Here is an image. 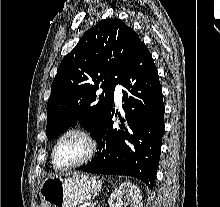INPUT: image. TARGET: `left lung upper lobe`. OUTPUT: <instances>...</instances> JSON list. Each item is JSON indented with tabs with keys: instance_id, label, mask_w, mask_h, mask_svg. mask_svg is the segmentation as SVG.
<instances>
[{
	"instance_id": "obj_1",
	"label": "left lung upper lobe",
	"mask_w": 220,
	"mask_h": 207,
	"mask_svg": "<svg viewBox=\"0 0 220 207\" xmlns=\"http://www.w3.org/2000/svg\"><path fill=\"white\" fill-rule=\"evenodd\" d=\"M141 39L120 19H104L89 29L59 65L47 103L46 135L54 139L80 125L94 136L113 105L115 85ZM99 83L103 93L96 91Z\"/></svg>"
}]
</instances>
